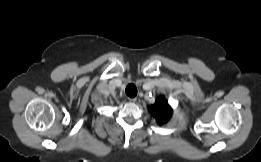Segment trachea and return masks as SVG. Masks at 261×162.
<instances>
[{
    "label": "trachea",
    "mask_w": 261,
    "mask_h": 162,
    "mask_svg": "<svg viewBox=\"0 0 261 162\" xmlns=\"http://www.w3.org/2000/svg\"><path fill=\"white\" fill-rule=\"evenodd\" d=\"M126 94L131 97L134 98L137 95V88L134 84H129L126 87Z\"/></svg>",
    "instance_id": "1"
}]
</instances>
